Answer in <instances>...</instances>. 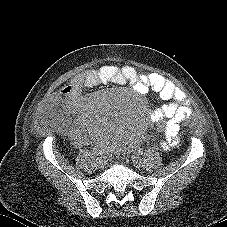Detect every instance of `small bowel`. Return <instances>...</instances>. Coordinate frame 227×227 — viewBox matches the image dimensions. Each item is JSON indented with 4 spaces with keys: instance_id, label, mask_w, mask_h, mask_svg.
<instances>
[{
    "instance_id": "c3829d8e",
    "label": "small bowel",
    "mask_w": 227,
    "mask_h": 227,
    "mask_svg": "<svg viewBox=\"0 0 227 227\" xmlns=\"http://www.w3.org/2000/svg\"><path fill=\"white\" fill-rule=\"evenodd\" d=\"M104 82L130 84L139 95H146L150 90L156 92L165 101L150 115L151 121L158 124L159 129L164 132L160 146L163 150H169L178 144L180 135L177 127L190 116V104L183 89L158 73L139 74L131 66L112 65L87 70L72 77L66 86L51 97L50 102H61L68 110L83 108L86 103L83 92ZM85 122L84 117L74 125L71 121L62 119L59 121V129L68 133L77 146H81L86 143L83 129Z\"/></svg>"
}]
</instances>
